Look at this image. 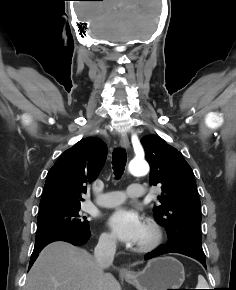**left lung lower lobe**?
<instances>
[{"mask_svg": "<svg viewBox=\"0 0 236 290\" xmlns=\"http://www.w3.org/2000/svg\"><path fill=\"white\" fill-rule=\"evenodd\" d=\"M166 253H180L186 256H190L193 257L197 260H199L203 266L206 268V261H205V254L197 251L196 249L192 248V247H188V246H184V245H178V246H169V245H161L160 247H158L156 250L152 251L151 253H148L145 256V259H150L162 254H166Z\"/></svg>", "mask_w": 236, "mask_h": 290, "instance_id": "left-lung-lower-lobe-1", "label": "left lung lower lobe"}]
</instances>
